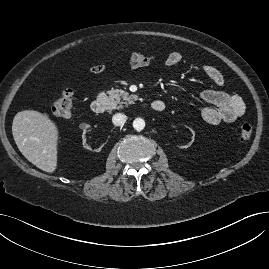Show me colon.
I'll return each mask as SVG.
<instances>
[{
	"mask_svg": "<svg viewBox=\"0 0 269 269\" xmlns=\"http://www.w3.org/2000/svg\"><path fill=\"white\" fill-rule=\"evenodd\" d=\"M74 108V93L71 89L63 90L53 103L51 112L57 117L66 118L72 114ZM253 128L250 123L244 122L239 128V137L242 141L248 140Z\"/></svg>",
	"mask_w": 269,
	"mask_h": 269,
	"instance_id": "colon-1",
	"label": "colon"
}]
</instances>
